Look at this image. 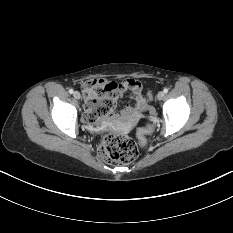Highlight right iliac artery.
Instances as JSON below:
<instances>
[{
  "label": "right iliac artery",
  "instance_id": "obj_1",
  "mask_svg": "<svg viewBox=\"0 0 233 233\" xmlns=\"http://www.w3.org/2000/svg\"><path fill=\"white\" fill-rule=\"evenodd\" d=\"M69 93L72 94L73 93V89H69Z\"/></svg>",
  "mask_w": 233,
  "mask_h": 233
}]
</instances>
